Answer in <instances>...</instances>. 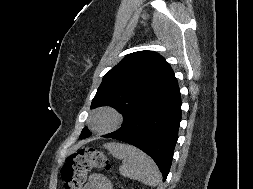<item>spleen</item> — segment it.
Returning a JSON list of instances; mask_svg holds the SVG:
<instances>
[{"mask_svg":"<svg viewBox=\"0 0 253 189\" xmlns=\"http://www.w3.org/2000/svg\"><path fill=\"white\" fill-rule=\"evenodd\" d=\"M113 157L124 160L120 166V174L136 179L150 186H157L160 182V172L155 162L138 148L116 142L104 144Z\"/></svg>","mask_w":253,"mask_h":189,"instance_id":"spleen-1","label":"spleen"}]
</instances>
